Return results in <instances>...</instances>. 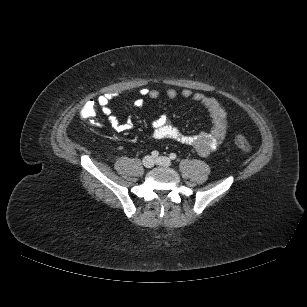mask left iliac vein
<instances>
[{"label":"left iliac vein","mask_w":307,"mask_h":307,"mask_svg":"<svg viewBox=\"0 0 307 307\" xmlns=\"http://www.w3.org/2000/svg\"><path fill=\"white\" fill-rule=\"evenodd\" d=\"M171 159L166 156H160L156 159V164L161 166H170L171 165Z\"/></svg>","instance_id":"obj_1"}]
</instances>
